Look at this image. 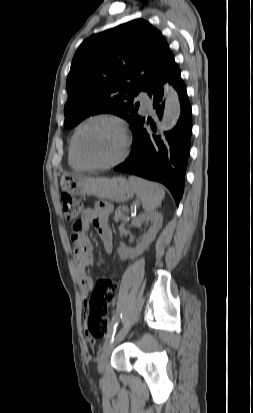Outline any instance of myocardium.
Here are the masks:
<instances>
[{
    "label": "myocardium",
    "instance_id": "f54148a6",
    "mask_svg": "<svg viewBox=\"0 0 253 413\" xmlns=\"http://www.w3.org/2000/svg\"><path fill=\"white\" fill-rule=\"evenodd\" d=\"M97 121H106L113 123L116 125L121 133L122 136V142H123V147L121 153L113 160L105 163H91L86 161L80 154L79 149H78V137L81 131L88 126L91 123L97 122ZM129 148H130V139L129 135L127 132V128L125 124L122 122L121 119H119L116 116L113 115H108V114H98L94 115L87 120H85L83 123H81L77 129L75 130L73 137H72V150L73 154L76 158V160L85 168L88 169H96V170H101V169H108L111 167H114L118 164H120L122 161L125 160L129 153Z\"/></svg>",
    "mask_w": 253,
    "mask_h": 413
}]
</instances>
